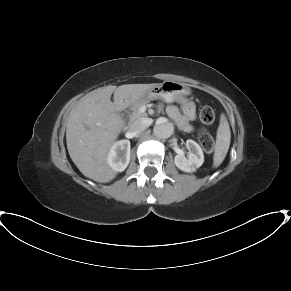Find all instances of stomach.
Segmentation results:
<instances>
[{
    "label": "stomach",
    "mask_w": 291,
    "mask_h": 291,
    "mask_svg": "<svg viewBox=\"0 0 291 291\" xmlns=\"http://www.w3.org/2000/svg\"><path fill=\"white\" fill-rule=\"evenodd\" d=\"M179 93L188 94L189 88L185 85L173 81H164L161 84H156L146 95L144 99H153L162 97L165 100H171Z\"/></svg>",
    "instance_id": "0dacf381"
}]
</instances>
